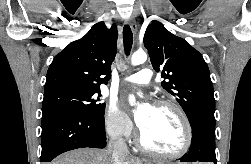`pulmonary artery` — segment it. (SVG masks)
<instances>
[{
  "instance_id": "pulmonary-artery-1",
  "label": "pulmonary artery",
  "mask_w": 251,
  "mask_h": 164,
  "mask_svg": "<svg viewBox=\"0 0 251 164\" xmlns=\"http://www.w3.org/2000/svg\"><path fill=\"white\" fill-rule=\"evenodd\" d=\"M152 79H153L152 70L144 68L135 74L123 78L122 81L130 84L147 85L152 81Z\"/></svg>"
}]
</instances>
